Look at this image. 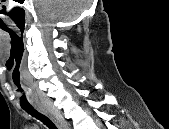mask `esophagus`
Wrapping results in <instances>:
<instances>
[{
	"label": "esophagus",
	"mask_w": 169,
	"mask_h": 129,
	"mask_svg": "<svg viewBox=\"0 0 169 129\" xmlns=\"http://www.w3.org/2000/svg\"><path fill=\"white\" fill-rule=\"evenodd\" d=\"M34 107L41 113H43L44 115L50 117L49 113L47 112V110L40 104H36L34 105Z\"/></svg>",
	"instance_id": "1"
}]
</instances>
